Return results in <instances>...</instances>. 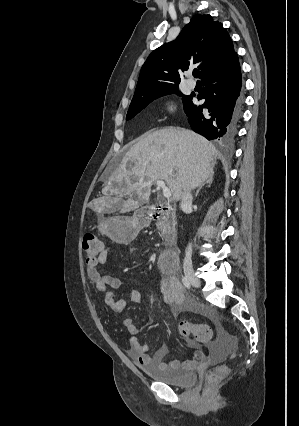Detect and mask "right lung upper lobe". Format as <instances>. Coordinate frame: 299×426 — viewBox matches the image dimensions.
Wrapping results in <instances>:
<instances>
[{
	"label": "right lung upper lobe",
	"mask_w": 299,
	"mask_h": 426,
	"mask_svg": "<svg viewBox=\"0 0 299 426\" xmlns=\"http://www.w3.org/2000/svg\"><path fill=\"white\" fill-rule=\"evenodd\" d=\"M234 54L232 40L221 23L213 21L210 15H194L174 41L149 55L140 71L132 101L178 87L182 72L193 64H198L202 79L224 66Z\"/></svg>",
	"instance_id": "right-lung-upper-lobe-1"
}]
</instances>
